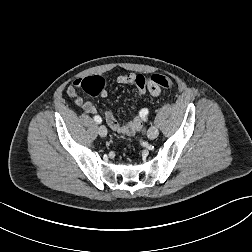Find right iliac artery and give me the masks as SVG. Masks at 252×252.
Masks as SVG:
<instances>
[{
	"instance_id": "1",
	"label": "right iliac artery",
	"mask_w": 252,
	"mask_h": 252,
	"mask_svg": "<svg viewBox=\"0 0 252 252\" xmlns=\"http://www.w3.org/2000/svg\"><path fill=\"white\" fill-rule=\"evenodd\" d=\"M94 120H95L98 124H100V123L102 122V119H101L100 116H95V117H94Z\"/></svg>"
}]
</instances>
